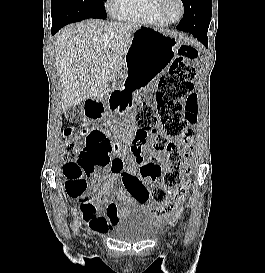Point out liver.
I'll return each instance as SVG.
<instances>
[{
	"label": "liver",
	"mask_w": 265,
	"mask_h": 273,
	"mask_svg": "<svg viewBox=\"0 0 265 273\" xmlns=\"http://www.w3.org/2000/svg\"><path fill=\"white\" fill-rule=\"evenodd\" d=\"M139 23L87 20L56 35L55 62L62 86V109L99 97L121 69Z\"/></svg>",
	"instance_id": "obj_1"
}]
</instances>
